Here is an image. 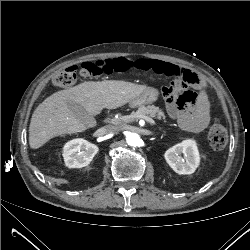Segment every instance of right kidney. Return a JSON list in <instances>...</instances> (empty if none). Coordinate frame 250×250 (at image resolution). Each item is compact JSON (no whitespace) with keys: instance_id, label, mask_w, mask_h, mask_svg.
Masks as SVG:
<instances>
[{"instance_id":"right-kidney-1","label":"right kidney","mask_w":250,"mask_h":250,"mask_svg":"<svg viewBox=\"0 0 250 250\" xmlns=\"http://www.w3.org/2000/svg\"><path fill=\"white\" fill-rule=\"evenodd\" d=\"M98 147L82 138L67 142L63 148L65 165L69 168L87 166L97 154Z\"/></svg>"}]
</instances>
